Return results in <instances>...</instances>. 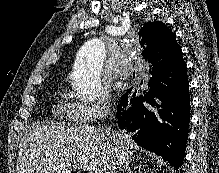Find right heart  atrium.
I'll use <instances>...</instances> for the list:
<instances>
[{
  "label": "right heart atrium",
  "mask_w": 219,
  "mask_h": 173,
  "mask_svg": "<svg viewBox=\"0 0 219 173\" xmlns=\"http://www.w3.org/2000/svg\"><path fill=\"white\" fill-rule=\"evenodd\" d=\"M74 118L80 123H92L107 117L111 111V104L106 93L100 94L94 102L73 104Z\"/></svg>",
  "instance_id": "d8ad5b80"
}]
</instances>
